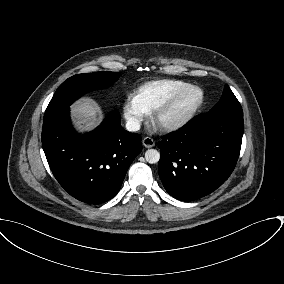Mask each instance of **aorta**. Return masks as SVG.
<instances>
[{"label": "aorta", "instance_id": "762f6f07", "mask_svg": "<svg viewBox=\"0 0 284 284\" xmlns=\"http://www.w3.org/2000/svg\"><path fill=\"white\" fill-rule=\"evenodd\" d=\"M160 159V153L156 149H148L145 152V160L150 164H155Z\"/></svg>", "mask_w": 284, "mask_h": 284}]
</instances>
